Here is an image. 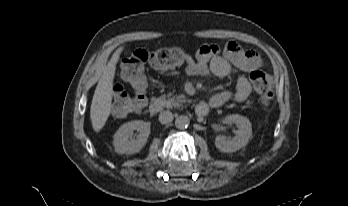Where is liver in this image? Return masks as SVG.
<instances>
[{
  "label": "liver",
  "instance_id": "obj_1",
  "mask_svg": "<svg viewBox=\"0 0 348 206\" xmlns=\"http://www.w3.org/2000/svg\"><path fill=\"white\" fill-rule=\"evenodd\" d=\"M123 47H119L112 55L110 61L102 69V74L96 86L91 107L90 119L94 131H100L110 113L113 95V81L115 77L116 64L119 61Z\"/></svg>",
  "mask_w": 348,
  "mask_h": 206
}]
</instances>
